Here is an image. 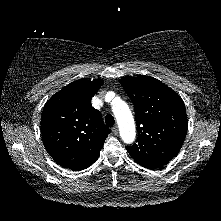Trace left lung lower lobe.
<instances>
[{
    "label": "left lung lower lobe",
    "mask_w": 221,
    "mask_h": 221,
    "mask_svg": "<svg viewBox=\"0 0 221 221\" xmlns=\"http://www.w3.org/2000/svg\"><path fill=\"white\" fill-rule=\"evenodd\" d=\"M141 166L148 168V169H155V168L159 167V166H155V165H142V164H141Z\"/></svg>",
    "instance_id": "left-lung-lower-lobe-1"
}]
</instances>
